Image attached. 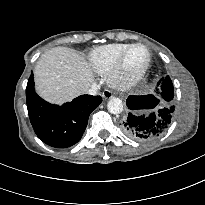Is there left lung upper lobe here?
<instances>
[{
    "instance_id": "5c2ea615",
    "label": "left lung upper lobe",
    "mask_w": 205,
    "mask_h": 205,
    "mask_svg": "<svg viewBox=\"0 0 205 205\" xmlns=\"http://www.w3.org/2000/svg\"><path fill=\"white\" fill-rule=\"evenodd\" d=\"M160 93L161 95L165 96L167 98V101L169 103H173V97H174V92H173V84L169 76H166L165 78L161 79V82L158 83L160 85Z\"/></svg>"
}]
</instances>
